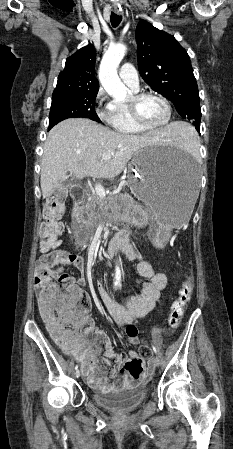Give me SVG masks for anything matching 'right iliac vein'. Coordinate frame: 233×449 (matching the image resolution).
Segmentation results:
<instances>
[{
	"instance_id": "right-iliac-vein-1",
	"label": "right iliac vein",
	"mask_w": 233,
	"mask_h": 449,
	"mask_svg": "<svg viewBox=\"0 0 233 449\" xmlns=\"http://www.w3.org/2000/svg\"><path fill=\"white\" fill-rule=\"evenodd\" d=\"M75 377H76V378H79V377H80V371H79V370H76V372H75Z\"/></svg>"
}]
</instances>
